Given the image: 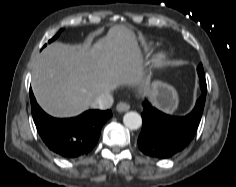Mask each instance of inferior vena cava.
Listing matches in <instances>:
<instances>
[{"label":"inferior vena cava","mask_w":236,"mask_h":187,"mask_svg":"<svg viewBox=\"0 0 236 187\" xmlns=\"http://www.w3.org/2000/svg\"><path fill=\"white\" fill-rule=\"evenodd\" d=\"M113 102V96L110 93H103L91 103V107L94 109L106 110L111 108Z\"/></svg>","instance_id":"1"}]
</instances>
